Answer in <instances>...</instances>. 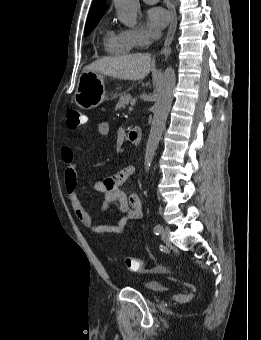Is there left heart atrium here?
<instances>
[{
    "label": "left heart atrium",
    "mask_w": 261,
    "mask_h": 340,
    "mask_svg": "<svg viewBox=\"0 0 261 340\" xmlns=\"http://www.w3.org/2000/svg\"><path fill=\"white\" fill-rule=\"evenodd\" d=\"M169 20V14L163 8L154 7L148 11L147 23L154 35L163 29L168 24Z\"/></svg>",
    "instance_id": "1"
}]
</instances>
